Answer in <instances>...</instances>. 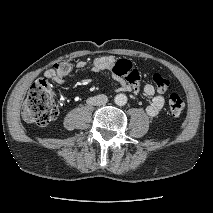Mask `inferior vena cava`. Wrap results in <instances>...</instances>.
<instances>
[{
	"label": "inferior vena cava",
	"instance_id": "1",
	"mask_svg": "<svg viewBox=\"0 0 213 213\" xmlns=\"http://www.w3.org/2000/svg\"><path fill=\"white\" fill-rule=\"evenodd\" d=\"M107 102H108V98L104 94L97 95V96H94V97H90L87 100L88 104L94 105V106H101V105L106 104Z\"/></svg>",
	"mask_w": 213,
	"mask_h": 213
}]
</instances>
